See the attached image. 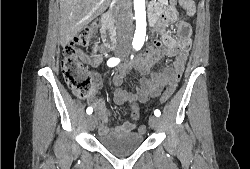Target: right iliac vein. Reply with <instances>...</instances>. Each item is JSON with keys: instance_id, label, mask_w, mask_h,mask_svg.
Here are the masks:
<instances>
[{"instance_id": "1", "label": "right iliac vein", "mask_w": 250, "mask_h": 169, "mask_svg": "<svg viewBox=\"0 0 250 169\" xmlns=\"http://www.w3.org/2000/svg\"><path fill=\"white\" fill-rule=\"evenodd\" d=\"M87 123L90 130H93L96 126V118L94 115L87 116Z\"/></svg>"}]
</instances>
